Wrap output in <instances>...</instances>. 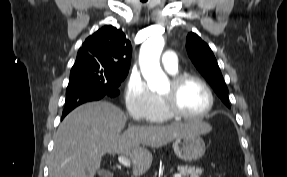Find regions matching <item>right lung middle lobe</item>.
<instances>
[{
	"label": "right lung middle lobe",
	"mask_w": 287,
	"mask_h": 177,
	"mask_svg": "<svg viewBox=\"0 0 287 177\" xmlns=\"http://www.w3.org/2000/svg\"><path fill=\"white\" fill-rule=\"evenodd\" d=\"M128 73H120L97 66H73L67 88L80 85L104 87L107 91L118 89Z\"/></svg>",
	"instance_id": "1"
}]
</instances>
